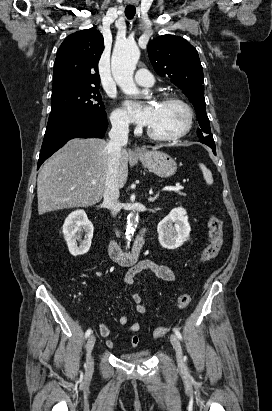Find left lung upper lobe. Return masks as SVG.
I'll use <instances>...</instances> for the list:
<instances>
[{
    "label": "left lung upper lobe",
    "mask_w": 272,
    "mask_h": 411,
    "mask_svg": "<svg viewBox=\"0 0 272 411\" xmlns=\"http://www.w3.org/2000/svg\"><path fill=\"white\" fill-rule=\"evenodd\" d=\"M149 59L160 76L170 78L193 104L198 137L211 134L204 98L203 68L197 50L184 38L162 35L148 44Z\"/></svg>",
    "instance_id": "obj_1"
}]
</instances>
